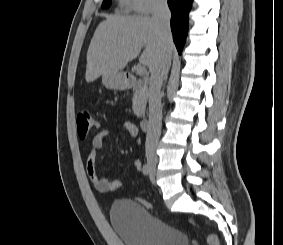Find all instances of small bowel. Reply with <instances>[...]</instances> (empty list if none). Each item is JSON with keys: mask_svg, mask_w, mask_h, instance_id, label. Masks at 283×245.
<instances>
[{"mask_svg": "<svg viewBox=\"0 0 283 245\" xmlns=\"http://www.w3.org/2000/svg\"><path fill=\"white\" fill-rule=\"evenodd\" d=\"M122 127L126 132L129 133L131 137H136L138 135V128L137 126L132 123L131 121L124 120L122 121ZM113 132L112 129H103L98 132L91 141V147L87 153L86 157V172L88 178L93 185V187L102 193L110 191V179L108 177H100L96 170V152L97 150L101 149L104 140ZM134 168L136 171L141 172L143 171L142 163L139 160L134 162Z\"/></svg>", "mask_w": 283, "mask_h": 245, "instance_id": "c3829d8e", "label": "small bowel"}]
</instances>
